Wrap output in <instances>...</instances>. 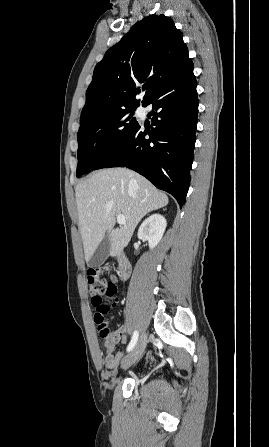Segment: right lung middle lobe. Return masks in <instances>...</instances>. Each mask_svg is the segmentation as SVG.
<instances>
[{
    "label": "right lung middle lobe",
    "instance_id": "dd1d6c3e",
    "mask_svg": "<svg viewBox=\"0 0 269 447\" xmlns=\"http://www.w3.org/2000/svg\"><path fill=\"white\" fill-rule=\"evenodd\" d=\"M138 106L106 112L80 127L77 133V177L94 170L139 127L133 117Z\"/></svg>",
    "mask_w": 269,
    "mask_h": 447
}]
</instances>
